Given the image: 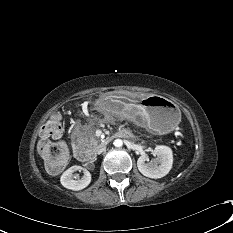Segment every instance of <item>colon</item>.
Here are the masks:
<instances>
[{
  "mask_svg": "<svg viewBox=\"0 0 233 233\" xmlns=\"http://www.w3.org/2000/svg\"><path fill=\"white\" fill-rule=\"evenodd\" d=\"M63 114L56 111L45 122L41 134L43 140L38 150L44 160L46 169L51 173L60 172L66 165L69 156L67 145L62 141H51L48 138L58 135L62 131Z\"/></svg>",
  "mask_w": 233,
  "mask_h": 233,
  "instance_id": "5ec220e1",
  "label": "colon"
}]
</instances>
